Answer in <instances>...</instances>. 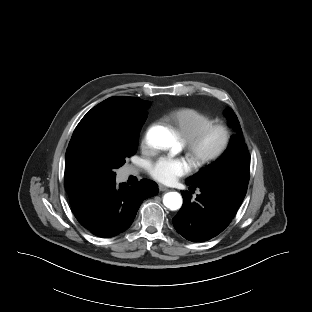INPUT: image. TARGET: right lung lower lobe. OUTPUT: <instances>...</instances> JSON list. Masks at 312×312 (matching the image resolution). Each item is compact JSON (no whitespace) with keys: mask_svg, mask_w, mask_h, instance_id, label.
Returning <instances> with one entry per match:
<instances>
[{"mask_svg":"<svg viewBox=\"0 0 312 312\" xmlns=\"http://www.w3.org/2000/svg\"><path fill=\"white\" fill-rule=\"evenodd\" d=\"M157 193V184L147 179L130 187L125 183L117 186L114 180L72 208V212L94 235L113 237L132 224L143 200Z\"/></svg>","mask_w":312,"mask_h":312,"instance_id":"obj_1","label":"right lung lower lobe"}]
</instances>
